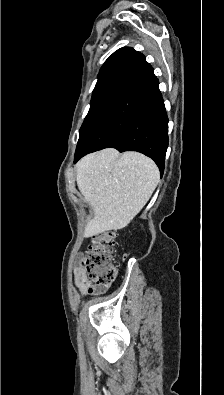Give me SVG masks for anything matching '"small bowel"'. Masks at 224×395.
<instances>
[{
  "label": "small bowel",
  "instance_id": "c3829d8e",
  "mask_svg": "<svg viewBox=\"0 0 224 395\" xmlns=\"http://www.w3.org/2000/svg\"><path fill=\"white\" fill-rule=\"evenodd\" d=\"M74 283L82 296L99 294L111 287V283L97 284L91 281L82 266L77 265L73 270Z\"/></svg>",
  "mask_w": 224,
  "mask_h": 395
}]
</instances>
